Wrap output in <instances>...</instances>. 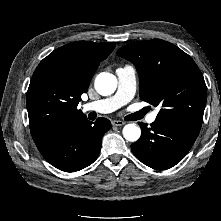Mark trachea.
<instances>
[{"label":"trachea","mask_w":221,"mask_h":221,"mask_svg":"<svg viewBox=\"0 0 221 221\" xmlns=\"http://www.w3.org/2000/svg\"><path fill=\"white\" fill-rule=\"evenodd\" d=\"M148 112L147 108H143L139 112L130 114L126 117L127 121H136L141 119Z\"/></svg>","instance_id":"obj_1"}]
</instances>
